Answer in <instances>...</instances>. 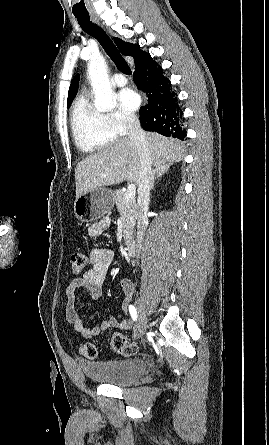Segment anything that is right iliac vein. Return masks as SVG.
Here are the masks:
<instances>
[{
    "instance_id": "obj_1",
    "label": "right iliac vein",
    "mask_w": 269,
    "mask_h": 445,
    "mask_svg": "<svg viewBox=\"0 0 269 445\" xmlns=\"http://www.w3.org/2000/svg\"><path fill=\"white\" fill-rule=\"evenodd\" d=\"M147 326V319L144 315L142 305L138 307V319L134 330V338L138 339L143 336Z\"/></svg>"
}]
</instances>
